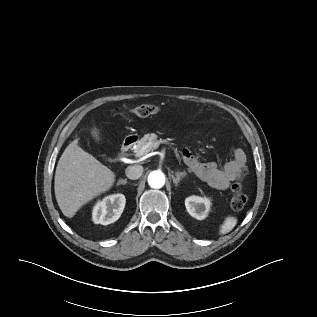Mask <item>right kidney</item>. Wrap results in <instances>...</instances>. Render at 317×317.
<instances>
[{
  "mask_svg": "<svg viewBox=\"0 0 317 317\" xmlns=\"http://www.w3.org/2000/svg\"><path fill=\"white\" fill-rule=\"evenodd\" d=\"M126 198L123 194H114L98 201L93 207L94 223L108 225L117 221L125 207Z\"/></svg>",
  "mask_w": 317,
  "mask_h": 317,
  "instance_id": "obj_1",
  "label": "right kidney"
}]
</instances>
